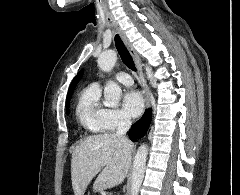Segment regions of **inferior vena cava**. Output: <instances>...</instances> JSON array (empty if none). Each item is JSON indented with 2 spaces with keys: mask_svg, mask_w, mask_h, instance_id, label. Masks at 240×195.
Wrapping results in <instances>:
<instances>
[{
  "mask_svg": "<svg viewBox=\"0 0 240 195\" xmlns=\"http://www.w3.org/2000/svg\"><path fill=\"white\" fill-rule=\"evenodd\" d=\"M130 125H131V121L129 117H127V115H123L118 125L116 135L117 137H119V139H122V141H125V143H129V139L128 137H126V131H128Z\"/></svg>",
  "mask_w": 240,
  "mask_h": 195,
  "instance_id": "1",
  "label": "inferior vena cava"
}]
</instances>
